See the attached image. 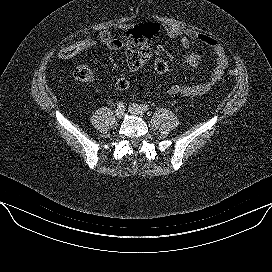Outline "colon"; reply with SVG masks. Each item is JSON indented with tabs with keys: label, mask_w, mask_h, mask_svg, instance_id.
Listing matches in <instances>:
<instances>
[{
	"label": "colon",
	"mask_w": 272,
	"mask_h": 272,
	"mask_svg": "<svg viewBox=\"0 0 272 272\" xmlns=\"http://www.w3.org/2000/svg\"><path fill=\"white\" fill-rule=\"evenodd\" d=\"M158 30L159 28L156 23L146 22L135 26L134 34L146 45H149V40L157 34ZM99 43L103 44L100 36L86 35L76 39L67 46L62 47L58 52V56L61 59H70L88 49H91ZM167 71V62L161 58L156 59L154 62V72L157 75H164ZM73 75L77 81L82 83L90 82L93 79V71L90 66L86 64L78 65L74 69ZM229 75L231 77H236L238 75V71L236 69H231L229 70ZM130 85V80L127 78H119L115 81V88L120 91L128 89Z\"/></svg>",
	"instance_id": "5ec220e1"
}]
</instances>
